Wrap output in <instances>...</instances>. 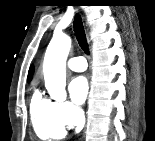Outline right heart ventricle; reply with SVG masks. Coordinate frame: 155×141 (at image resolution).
Instances as JSON below:
<instances>
[{
    "mask_svg": "<svg viewBox=\"0 0 155 141\" xmlns=\"http://www.w3.org/2000/svg\"><path fill=\"white\" fill-rule=\"evenodd\" d=\"M30 116L36 135L41 139H56L65 135V126L58 120L55 102L35 90L30 99Z\"/></svg>",
    "mask_w": 155,
    "mask_h": 141,
    "instance_id": "e07e8e85",
    "label": "right heart ventricle"
}]
</instances>
